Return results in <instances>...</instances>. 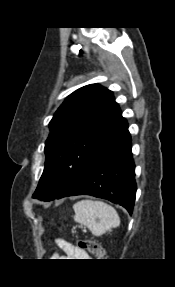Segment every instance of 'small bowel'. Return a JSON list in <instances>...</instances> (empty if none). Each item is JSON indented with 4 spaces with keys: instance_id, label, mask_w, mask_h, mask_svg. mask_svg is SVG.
Listing matches in <instances>:
<instances>
[{
    "instance_id": "obj_1",
    "label": "small bowel",
    "mask_w": 175,
    "mask_h": 287,
    "mask_svg": "<svg viewBox=\"0 0 175 287\" xmlns=\"http://www.w3.org/2000/svg\"><path fill=\"white\" fill-rule=\"evenodd\" d=\"M56 245L62 249L68 256H85L84 252L78 251L73 245L65 240L58 238L55 240Z\"/></svg>"
}]
</instances>
